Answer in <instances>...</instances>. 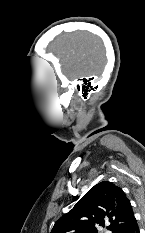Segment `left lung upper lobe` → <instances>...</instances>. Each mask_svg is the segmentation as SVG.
Returning a JSON list of instances; mask_svg holds the SVG:
<instances>
[{"mask_svg":"<svg viewBox=\"0 0 145 233\" xmlns=\"http://www.w3.org/2000/svg\"><path fill=\"white\" fill-rule=\"evenodd\" d=\"M134 221L132 206L123 190L102 181L55 223L51 233H97L95 226L105 224L112 233H127Z\"/></svg>","mask_w":145,"mask_h":233,"instance_id":"left-lung-upper-lobe-1","label":"left lung upper lobe"}]
</instances>
